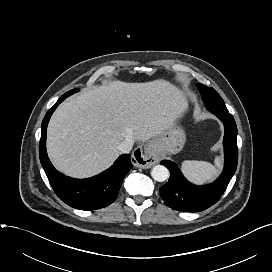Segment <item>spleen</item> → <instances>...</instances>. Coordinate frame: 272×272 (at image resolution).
Returning a JSON list of instances; mask_svg holds the SVG:
<instances>
[{"mask_svg":"<svg viewBox=\"0 0 272 272\" xmlns=\"http://www.w3.org/2000/svg\"><path fill=\"white\" fill-rule=\"evenodd\" d=\"M215 166L205 161H183L181 169L184 175L194 183H204L214 179L222 166V159L215 158Z\"/></svg>","mask_w":272,"mask_h":272,"instance_id":"1","label":"spleen"}]
</instances>
